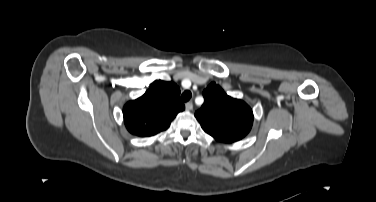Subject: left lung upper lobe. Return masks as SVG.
I'll return each instance as SVG.
<instances>
[{
  "label": "left lung upper lobe",
  "mask_w": 376,
  "mask_h": 202,
  "mask_svg": "<svg viewBox=\"0 0 376 202\" xmlns=\"http://www.w3.org/2000/svg\"><path fill=\"white\" fill-rule=\"evenodd\" d=\"M204 104L195 113L205 132L218 141L232 143L251 130L253 112L243 101L231 98L212 82L203 92Z\"/></svg>",
  "instance_id": "left-lung-upper-lobe-1"
}]
</instances>
